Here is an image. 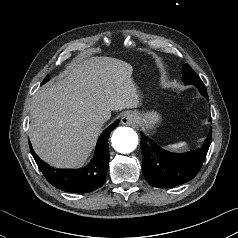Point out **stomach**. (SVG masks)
<instances>
[{"label":"stomach","instance_id":"1","mask_svg":"<svg viewBox=\"0 0 238 238\" xmlns=\"http://www.w3.org/2000/svg\"><path fill=\"white\" fill-rule=\"evenodd\" d=\"M138 122L143 126L145 129L150 130L153 129L154 126L160 121V115L155 112H146V113H137Z\"/></svg>","mask_w":238,"mask_h":238}]
</instances>
